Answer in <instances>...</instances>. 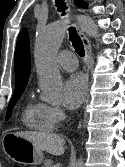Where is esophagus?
Returning <instances> with one entry per match:
<instances>
[{
    "mask_svg": "<svg viewBox=\"0 0 125 167\" xmlns=\"http://www.w3.org/2000/svg\"><path fill=\"white\" fill-rule=\"evenodd\" d=\"M76 28H77V32L82 40L84 50H85V62H86L85 72H86V76L88 78L89 73H90V69H91L92 48H91V44L89 42L88 37L85 35V33L83 32V30L81 29L79 24L76 25ZM81 126H82V121H79L78 129H80Z\"/></svg>",
    "mask_w": 125,
    "mask_h": 167,
    "instance_id": "esophagus-1",
    "label": "esophagus"
}]
</instances>
